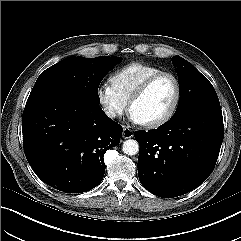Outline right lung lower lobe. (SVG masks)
<instances>
[{"label":"right lung lower lobe","mask_w":241,"mask_h":241,"mask_svg":"<svg viewBox=\"0 0 241 241\" xmlns=\"http://www.w3.org/2000/svg\"><path fill=\"white\" fill-rule=\"evenodd\" d=\"M23 146L37 176L67 193L95 188L105 172V152L123 128L99 106L66 89L29 96L22 115Z\"/></svg>","instance_id":"1"}]
</instances>
